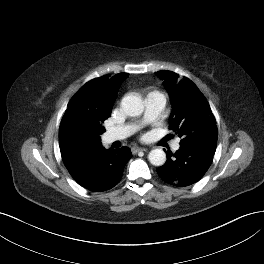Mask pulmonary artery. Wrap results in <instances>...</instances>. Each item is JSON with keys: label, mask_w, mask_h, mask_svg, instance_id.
Returning a JSON list of instances; mask_svg holds the SVG:
<instances>
[{"label": "pulmonary artery", "mask_w": 264, "mask_h": 264, "mask_svg": "<svg viewBox=\"0 0 264 264\" xmlns=\"http://www.w3.org/2000/svg\"><path fill=\"white\" fill-rule=\"evenodd\" d=\"M146 110L140 124L149 123L158 118L166 104L165 96L160 92H151L145 98ZM140 124H126L108 130L105 134L107 143L123 139L135 131ZM179 142L174 143L173 150H178Z\"/></svg>", "instance_id": "pulmonary-artery-1"}]
</instances>
